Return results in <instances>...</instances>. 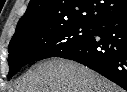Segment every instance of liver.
Wrapping results in <instances>:
<instances>
[{
	"mask_svg": "<svg viewBox=\"0 0 127 92\" xmlns=\"http://www.w3.org/2000/svg\"><path fill=\"white\" fill-rule=\"evenodd\" d=\"M12 92H123L95 71L66 59L32 66Z\"/></svg>",
	"mask_w": 127,
	"mask_h": 92,
	"instance_id": "6515ba94",
	"label": "liver"
}]
</instances>
